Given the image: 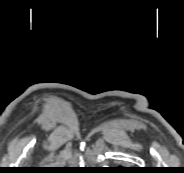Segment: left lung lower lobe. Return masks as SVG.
Instances as JSON below:
<instances>
[{"instance_id": "obj_1", "label": "left lung lower lobe", "mask_w": 184, "mask_h": 173, "mask_svg": "<svg viewBox=\"0 0 184 173\" xmlns=\"http://www.w3.org/2000/svg\"><path fill=\"white\" fill-rule=\"evenodd\" d=\"M120 173H128L131 172L132 168L120 167L117 168Z\"/></svg>"}]
</instances>
